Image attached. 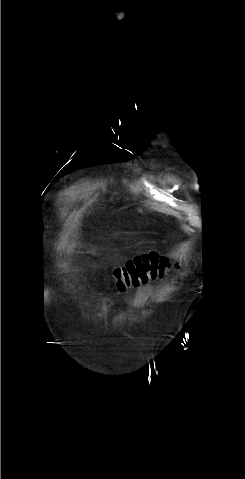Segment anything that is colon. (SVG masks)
<instances>
[{
    "instance_id": "5ec220e1",
    "label": "colon",
    "mask_w": 245,
    "mask_h": 479,
    "mask_svg": "<svg viewBox=\"0 0 245 479\" xmlns=\"http://www.w3.org/2000/svg\"><path fill=\"white\" fill-rule=\"evenodd\" d=\"M171 268L170 262L157 253H147L128 260L114 269V276L119 281V288L138 286L148 280L164 276Z\"/></svg>"
}]
</instances>
